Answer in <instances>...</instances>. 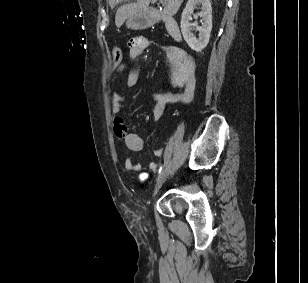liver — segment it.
Instances as JSON below:
<instances>
[{
	"mask_svg": "<svg viewBox=\"0 0 308 283\" xmlns=\"http://www.w3.org/2000/svg\"><path fill=\"white\" fill-rule=\"evenodd\" d=\"M123 0H108L109 5L111 8L115 7L119 2ZM152 0H137L136 3H130L122 5L118 8L116 15H115V24L119 28L125 22V20L137 13H145L148 8L149 4ZM165 2L164 12L167 15H175L179 10L182 2L184 0H163Z\"/></svg>",
	"mask_w": 308,
	"mask_h": 283,
	"instance_id": "6515ba94",
	"label": "liver"
}]
</instances>
